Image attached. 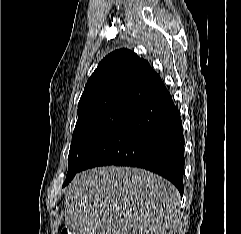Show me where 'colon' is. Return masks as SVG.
Instances as JSON below:
<instances>
[{
  "label": "colon",
  "mask_w": 241,
  "mask_h": 234,
  "mask_svg": "<svg viewBox=\"0 0 241 234\" xmlns=\"http://www.w3.org/2000/svg\"><path fill=\"white\" fill-rule=\"evenodd\" d=\"M62 234H68V232H67L66 230H64V231L62 232Z\"/></svg>",
  "instance_id": "colon-1"
}]
</instances>
